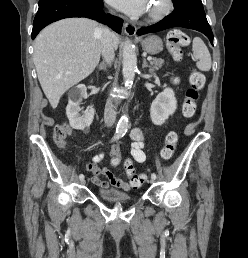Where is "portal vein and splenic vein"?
Listing matches in <instances>:
<instances>
[{
	"mask_svg": "<svg viewBox=\"0 0 248 258\" xmlns=\"http://www.w3.org/2000/svg\"><path fill=\"white\" fill-rule=\"evenodd\" d=\"M147 60H148V61H151V60H152V57L148 56V57H147Z\"/></svg>",
	"mask_w": 248,
	"mask_h": 258,
	"instance_id": "1",
	"label": "portal vein and splenic vein"
}]
</instances>
